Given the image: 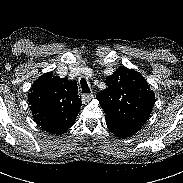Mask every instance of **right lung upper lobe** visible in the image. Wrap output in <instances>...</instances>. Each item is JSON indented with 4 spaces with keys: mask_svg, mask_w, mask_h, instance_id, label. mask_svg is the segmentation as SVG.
Wrapping results in <instances>:
<instances>
[{
    "mask_svg": "<svg viewBox=\"0 0 183 183\" xmlns=\"http://www.w3.org/2000/svg\"><path fill=\"white\" fill-rule=\"evenodd\" d=\"M29 104L36 123L51 134H64L72 126L81 107L77 82L47 72L32 85Z\"/></svg>",
    "mask_w": 183,
    "mask_h": 183,
    "instance_id": "obj_1",
    "label": "right lung upper lobe"
}]
</instances>
